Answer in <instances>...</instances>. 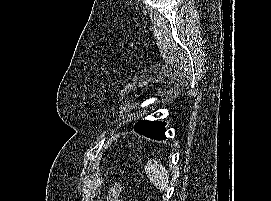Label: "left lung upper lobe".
I'll use <instances>...</instances> for the list:
<instances>
[{
    "label": "left lung upper lobe",
    "mask_w": 271,
    "mask_h": 201,
    "mask_svg": "<svg viewBox=\"0 0 271 201\" xmlns=\"http://www.w3.org/2000/svg\"><path fill=\"white\" fill-rule=\"evenodd\" d=\"M134 130L148 138L164 140L166 130L164 122L141 120L134 125Z\"/></svg>",
    "instance_id": "obj_1"
}]
</instances>
